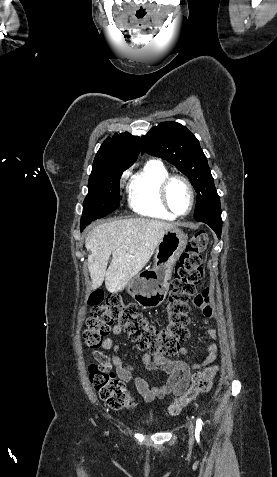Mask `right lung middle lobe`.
Masks as SVG:
<instances>
[{"label":"right lung middle lobe","mask_w":277,"mask_h":477,"mask_svg":"<svg viewBox=\"0 0 277 477\" xmlns=\"http://www.w3.org/2000/svg\"><path fill=\"white\" fill-rule=\"evenodd\" d=\"M126 167H114L89 177V192L83 203L81 231L98 218L104 217L119 206V180Z\"/></svg>","instance_id":"dd1d6c3e"}]
</instances>
